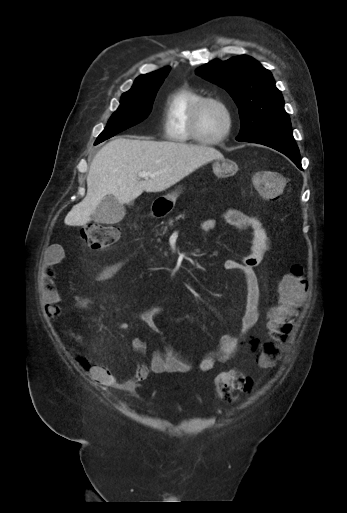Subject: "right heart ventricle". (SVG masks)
Here are the masks:
<instances>
[{"instance_id": "e07e8e85", "label": "right heart ventricle", "mask_w": 347, "mask_h": 513, "mask_svg": "<svg viewBox=\"0 0 347 513\" xmlns=\"http://www.w3.org/2000/svg\"><path fill=\"white\" fill-rule=\"evenodd\" d=\"M203 95L189 86L173 91L166 101L164 111L165 136L177 143H199L189 129L190 115Z\"/></svg>"}]
</instances>
